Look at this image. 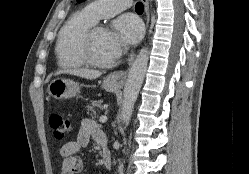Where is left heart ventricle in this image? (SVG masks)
<instances>
[{
  "mask_svg": "<svg viewBox=\"0 0 249 174\" xmlns=\"http://www.w3.org/2000/svg\"><path fill=\"white\" fill-rule=\"evenodd\" d=\"M92 53L101 62L113 61V47L110 32L103 28H97L93 35Z\"/></svg>",
  "mask_w": 249,
  "mask_h": 174,
  "instance_id": "left-heart-ventricle-1",
  "label": "left heart ventricle"
}]
</instances>
